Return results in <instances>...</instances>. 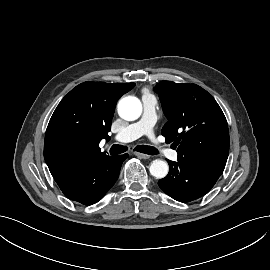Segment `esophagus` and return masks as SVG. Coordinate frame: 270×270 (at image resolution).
Returning <instances> with one entry per match:
<instances>
[{
  "instance_id": "obj_1",
  "label": "esophagus",
  "mask_w": 270,
  "mask_h": 270,
  "mask_svg": "<svg viewBox=\"0 0 270 270\" xmlns=\"http://www.w3.org/2000/svg\"><path fill=\"white\" fill-rule=\"evenodd\" d=\"M134 154H135L137 157L142 158V159H149V158L151 157L150 155L143 154V153H140V152H135Z\"/></svg>"
}]
</instances>
